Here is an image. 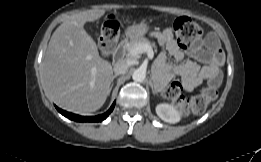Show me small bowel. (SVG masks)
<instances>
[{"instance_id": "small-bowel-1", "label": "small bowel", "mask_w": 261, "mask_h": 162, "mask_svg": "<svg viewBox=\"0 0 261 162\" xmlns=\"http://www.w3.org/2000/svg\"><path fill=\"white\" fill-rule=\"evenodd\" d=\"M154 37L176 60L184 58V53L175 41L170 29L155 32ZM188 52L202 66L195 61L171 65L167 61V55L161 53L156 60V66L163 78L168 80L174 75L180 76L187 91H192L204 80H207L211 85L218 86L221 81L220 67L224 64L225 56L216 36L210 34L204 40L195 42Z\"/></svg>"}]
</instances>
